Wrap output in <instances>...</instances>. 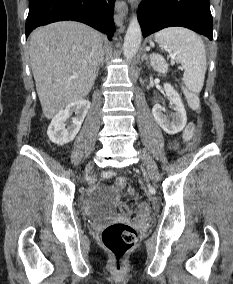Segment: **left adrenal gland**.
<instances>
[{
    "instance_id": "left-adrenal-gland-1",
    "label": "left adrenal gland",
    "mask_w": 233,
    "mask_h": 284,
    "mask_svg": "<svg viewBox=\"0 0 233 284\" xmlns=\"http://www.w3.org/2000/svg\"><path fill=\"white\" fill-rule=\"evenodd\" d=\"M141 60H142V61L145 60L146 63L148 64V67H150V65H149V60H148V56L146 55V52H145V51H144V53H143V55H142Z\"/></svg>"
}]
</instances>
